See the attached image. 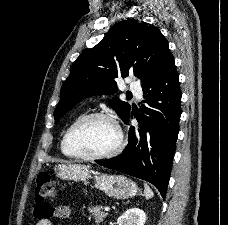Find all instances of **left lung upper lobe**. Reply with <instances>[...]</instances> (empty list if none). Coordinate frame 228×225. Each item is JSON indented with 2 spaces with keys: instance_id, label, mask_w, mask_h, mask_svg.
I'll return each mask as SVG.
<instances>
[{
  "instance_id": "5c2ea615",
  "label": "left lung upper lobe",
  "mask_w": 228,
  "mask_h": 225,
  "mask_svg": "<svg viewBox=\"0 0 228 225\" xmlns=\"http://www.w3.org/2000/svg\"><path fill=\"white\" fill-rule=\"evenodd\" d=\"M169 55L168 42L157 27L133 19L115 24L99 44L83 51L72 64L54 112L55 124L87 96L115 93V79L120 76L132 72L142 84L150 81ZM109 105L123 121L129 117L127 102L114 97Z\"/></svg>"
}]
</instances>
